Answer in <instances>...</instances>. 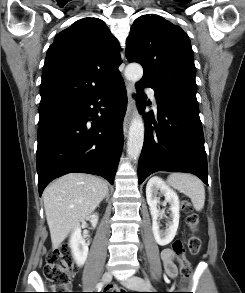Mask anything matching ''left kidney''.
Returning <instances> with one entry per match:
<instances>
[{
	"label": "left kidney",
	"mask_w": 245,
	"mask_h": 293,
	"mask_svg": "<svg viewBox=\"0 0 245 293\" xmlns=\"http://www.w3.org/2000/svg\"><path fill=\"white\" fill-rule=\"evenodd\" d=\"M165 196V200L170 204L171 218L168 227L165 230H160L158 218L162 217V213L157 209L159 198L157 195ZM146 199L149 205L152 216V231L156 242L165 246L169 244L175 237L179 225V198L177 193L172 190L161 178L152 177L146 186Z\"/></svg>",
	"instance_id": "5707ae66"
}]
</instances>
